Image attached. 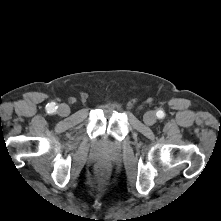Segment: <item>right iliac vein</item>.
<instances>
[{
  "label": "right iliac vein",
  "mask_w": 221,
  "mask_h": 221,
  "mask_svg": "<svg viewBox=\"0 0 221 221\" xmlns=\"http://www.w3.org/2000/svg\"><path fill=\"white\" fill-rule=\"evenodd\" d=\"M70 113V109L68 107V105L66 104H61L58 108V114L62 117H66L68 116Z\"/></svg>",
  "instance_id": "right-iliac-vein-1"
}]
</instances>
